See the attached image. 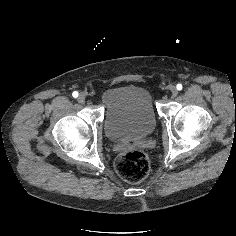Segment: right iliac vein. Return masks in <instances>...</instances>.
Returning a JSON list of instances; mask_svg holds the SVG:
<instances>
[{
    "instance_id": "obj_1",
    "label": "right iliac vein",
    "mask_w": 236,
    "mask_h": 236,
    "mask_svg": "<svg viewBox=\"0 0 236 236\" xmlns=\"http://www.w3.org/2000/svg\"><path fill=\"white\" fill-rule=\"evenodd\" d=\"M85 99H86V96L83 93L80 94L77 98L78 102L81 103V104H83L85 102Z\"/></svg>"
}]
</instances>
